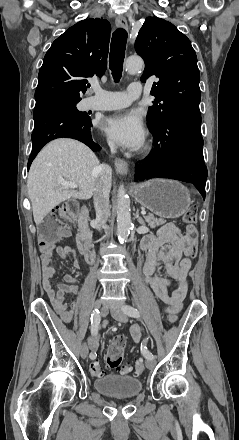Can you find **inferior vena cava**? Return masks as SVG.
<instances>
[{
  "instance_id": "602c4592",
  "label": "inferior vena cava",
  "mask_w": 239,
  "mask_h": 440,
  "mask_svg": "<svg viewBox=\"0 0 239 440\" xmlns=\"http://www.w3.org/2000/svg\"><path fill=\"white\" fill-rule=\"evenodd\" d=\"M111 154H116V146L113 142H108ZM97 180L94 188V208L96 212V222L99 228L106 224L109 214V194L111 190L112 168L101 164L96 168ZM104 307H113V304H104Z\"/></svg>"
}]
</instances>
